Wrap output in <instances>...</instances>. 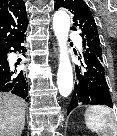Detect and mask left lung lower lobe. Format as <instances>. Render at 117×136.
I'll return each instance as SVG.
<instances>
[{
    "instance_id": "1",
    "label": "left lung lower lobe",
    "mask_w": 117,
    "mask_h": 136,
    "mask_svg": "<svg viewBox=\"0 0 117 136\" xmlns=\"http://www.w3.org/2000/svg\"><path fill=\"white\" fill-rule=\"evenodd\" d=\"M85 65L75 67L76 83L67 115L80 105H106L113 108L103 63L93 54H84Z\"/></svg>"
}]
</instances>
